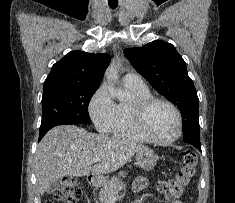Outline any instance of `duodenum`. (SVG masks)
Here are the masks:
<instances>
[{
    "label": "duodenum",
    "instance_id": "1",
    "mask_svg": "<svg viewBox=\"0 0 235 203\" xmlns=\"http://www.w3.org/2000/svg\"><path fill=\"white\" fill-rule=\"evenodd\" d=\"M88 184L90 186H95L97 184V179L94 176H89L88 177Z\"/></svg>",
    "mask_w": 235,
    "mask_h": 203
}]
</instances>
